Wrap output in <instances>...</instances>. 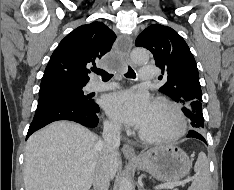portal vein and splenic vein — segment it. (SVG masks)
<instances>
[{"mask_svg":"<svg viewBox=\"0 0 234 190\" xmlns=\"http://www.w3.org/2000/svg\"><path fill=\"white\" fill-rule=\"evenodd\" d=\"M191 179L188 178L186 179L185 181L183 182H175V183H165V184H160L158 186L155 187L156 190H159V189H173L175 186L177 185H182L188 181H190Z\"/></svg>","mask_w":234,"mask_h":190,"instance_id":"portal-vein-and-splenic-vein-1","label":"portal vein and splenic vein"}]
</instances>
